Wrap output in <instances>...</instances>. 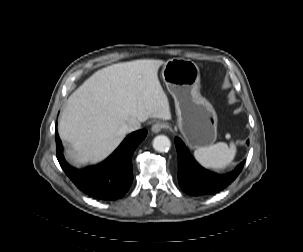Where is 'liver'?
<instances>
[{
	"mask_svg": "<svg viewBox=\"0 0 303 252\" xmlns=\"http://www.w3.org/2000/svg\"><path fill=\"white\" fill-rule=\"evenodd\" d=\"M164 63L140 59L107 66L70 95L58 131L73 148L67 151L73 164L97 163L109 156L124 139L123 127L131 120L171 118L158 79Z\"/></svg>",
	"mask_w": 303,
	"mask_h": 252,
	"instance_id": "1",
	"label": "liver"
}]
</instances>
